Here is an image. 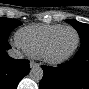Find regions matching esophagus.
I'll list each match as a JSON object with an SVG mask.
<instances>
[{
    "instance_id": "34e87169",
    "label": "esophagus",
    "mask_w": 89,
    "mask_h": 89,
    "mask_svg": "<svg viewBox=\"0 0 89 89\" xmlns=\"http://www.w3.org/2000/svg\"><path fill=\"white\" fill-rule=\"evenodd\" d=\"M38 66H39L38 63H36V62H34V61H30V67H31V68H35V67H38Z\"/></svg>"
}]
</instances>
